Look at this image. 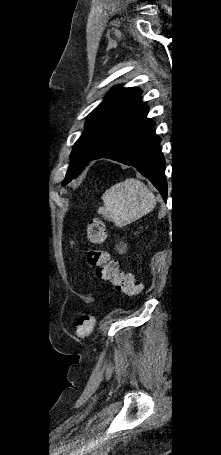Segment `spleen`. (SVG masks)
I'll return each instance as SVG.
<instances>
[{"mask_svg":"<svg viewBox=\"0 0 221 455\" xmlns=\"http://www.w3.org/2000/svg\"><path fill=\"white\" fill-rule=\"evenodd\" d=\"M104 207L98 212L116 226L123 227L152 211L154 194L138 179L128 178L111 186L102 196Z\"/></svg>","mask_w":221,"mask_h":455,"instance_id":"3e777b00","label":"spleen"}]
</instances>
